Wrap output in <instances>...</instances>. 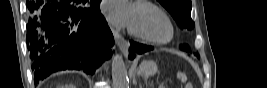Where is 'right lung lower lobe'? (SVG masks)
Instances as JSON below:
<instances>
[{
    "instance_id": "right-lung-lower-lobe-1",
    "label": "right lung lower lobe",
    "mask_w": 267,
    "mask_h": 88,
    "mask_svg": "<svg viewBox=\"0 0 267 88\" xmlns=\"http://www.w3.org/2000/svg\"><path fill=\"white\" fill-rule=\"evenodd\" d=\"M100 1L91 0L89 9L76 7L79 0L28 1L26 42L35 83L66 69L93 74L111 57L114 38Z\"/></svg>"
}]
</instances>
